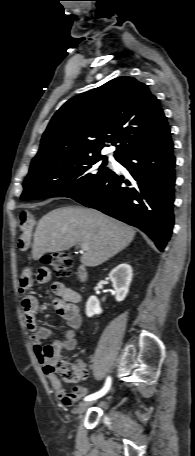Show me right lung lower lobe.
<instances>
[{"label":"right lung lower lobe","mask_w":195,"mask_h":456,"mask_svg":"<svg viewBox=\"0 0 195 456\" xmlns=\"http://www.w3.org/2000/svg\"><path fill=\"white\" fill-rule=\"evenodd\" d=\"M173 146L170 139L124 153L117 161L129 171L130 181L113 172L96 188L73 199L139 228L163 251L174 225Z\"/></svg>","instance_id":"1"}]
</instances>
